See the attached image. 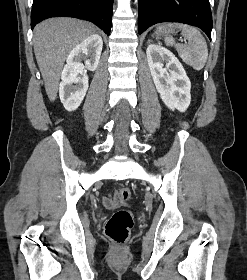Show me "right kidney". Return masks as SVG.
Instances as JSON below:
<instances>
[{"label": "right kidney", "mask_w": 247, "mask_h": 280, "mask_svg": "<svg viewBox=\"0 0 247 280\" xmlns=\"http://www.w3.org/2000/svg\"><path fill=\"white\" fill-rule=\"evenodd\" d=\"M103 41L100 35L93 34L76 45L67 57L59 85V96L65 109L76 110L83 101L88 89V76L85 68L96 70L102 51ZM86 60L85 65L82 60Z\"/></svg>", "instance_id": "ca27d5eb"}]
</instances>
